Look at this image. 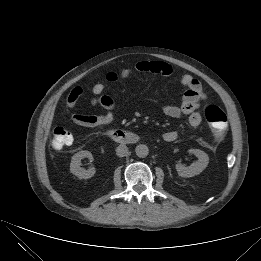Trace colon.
Masks as SVG:
<instances>
[{"label":"colon","mask_w":261,"mask_h":261,"mask_svg":"<svg viewBox=\"0 0 261 261\" xmlns=\"http://www.w3.org/2000/svg\"><path fill=\"white\" fill-rule=\"evenodd\" d=\"M108 79L113 81L116 79L115 73L108 74ZM205 119L208 122L214 136L221 138L227 129V116L216 105H209L204 111ZM73 141V136L69 130L64 127H56L52 133L51 144L55 149H62L70 145Z\"/></svg>","instance_id":"1"}]
</instances>
